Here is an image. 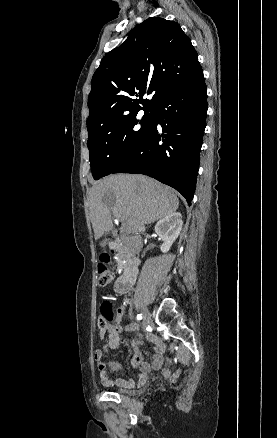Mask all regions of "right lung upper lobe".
Returning <instances> with one entry per match:
<instances>
[{
  "label": "right lung upper lobe",
  "mask_w": 277,
  "mask_h": 438,
  "mask_svg": "<svg viewBox=\"0 0 277 438\" xmlns=\"http://www.w3.org/2000/svg\"><path fill=\"white\" fill-rule=\"evenodd\" d=\"M169 64L179 68L168 71ZM201 72L197 52L180 25L160 17L148 18L131 30L121 46L104 56L94 73L87 128L151 109L166 90ZM146 92L152 94L150 100H143Z\"/></svg>",
  "instance_id": "obj_1"
}]
</instances>
